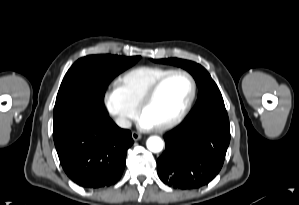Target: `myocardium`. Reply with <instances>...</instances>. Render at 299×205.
I'll return each instance as SVG.
<instances>
[{"label":"myocardium","instance_id":"1","mask_svg":"<svg viewBox=\"0 0 299 205\" xmlns=\"http://www.w3.org/2000/svg\"><path fill=\"white\" fill-rule=\"evenodd\" d=\"M176 74H182L185 75L191 83V92H190V96L185 104V106L183 107V109L180 111V113L175 116L173 119H171L170 121L163 123L161 125L155 126V130L157 131H166L169 130L173 127H175L176 125H178L179 123H181L184 118L187 116V114L189 113L194 100L196 98V93H197V83L195 78L193 77V75L184 69H174L169 71L168 73L164 74L163 76H161L158 80H156L151 87L146 91V93L144 94V96L142 97L139 105H138V112L140 115L143 114L144 110L150 105V103L153 101V99L155 98V96L157 95L158 91L160 90V88L162 87V85L173 75Z\"/></svg>","mask_w":299,"mask_h":205}]
</instances>
